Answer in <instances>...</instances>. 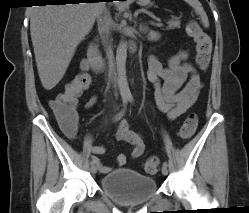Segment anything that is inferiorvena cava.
<instances>
[{"mask_svg":"<svg viewBox=\"0 0 249 213\" xmlns=\"http://www.w3.org/2000/svg\"><path fill=\"white\" fill-rule=\"evenodd\" d=\"M107 11L105 9L97 18H98V25L101 27L102 31L106 35V40H105V45H106V55L108 58V64H109V74L112 82L114 84H117V79H116V73H115V65H114V54H113V49H112V39L110 38V31L112 28V22L109 19H105L104 14Z\"/></svg>","mask_w":249,"mask_h":213,"instance_id":"1","label":"inferior vena cava"}]
</instances>
